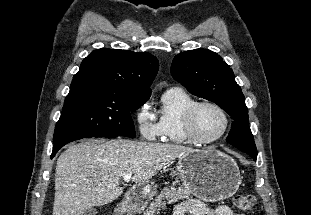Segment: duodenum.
<instances>
[{
	"label": "duodenum",
	"instance_id": "1",
	"mask_svg": "<svg viewBox=\"0 0 311 215\" xmlns=\"http://www.w3.org/2000/svg\"><path fill=\"white\" fill-rule=\"evenodd\" d=\"M118 212H119V215H126L127 214V211L122 209V208H120Z\"/></svg>",
	"mask_w": 311,
	"mask_h": 215
}]
</instances>
